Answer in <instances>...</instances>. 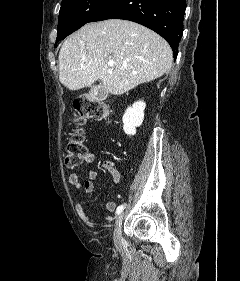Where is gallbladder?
I'll use <instances>...</instances> for the list:
<instances>
[{
	"label": "gallbladder",
	"instance_id": "1",
	"mask_svg": "<svg viewBox=\"0 0 240 281\" xmlns=\"http://www.w3.org/2000/svg\"><path fill=\"white\" fill-rule=\"evenodd\" d=\"M95 92H96V90H95V89H92V93H95ZM97 92H98L97 97H98L99 99H104V98H105L106 90H105L104 88H99V89L97 90Z\"/></svg>",
	"mask_w": 240,
	"mask_h": 281
}]
</instances>
